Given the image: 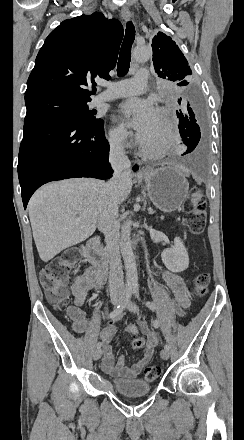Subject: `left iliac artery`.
<instances>
[{"label":"left iliac artery","mask_w":244,"mask_h":440,"mask_svg":"<svg viewBox=\"0 0 244 440\" xmlns=\"http://www.w3.org/2000/svg\"><path fill=\"white\" fill-rule=\"evenodd\" d=\"M133 293H134L135 297H136L138 300H141V299H140V296H139V288H138V285H134V287H133ZM145 305H146L150 310H152V311H156V306H155V304H154L153 302L148 301V302L145 303ZM153 325H154L155 328H158V327H159V320H158V319H155L154 322H153ZM169 348H170V347H169L168 344H165V345H164V349L169 350Z\"/></svg>","instance_id":"1"}]
</instances>
